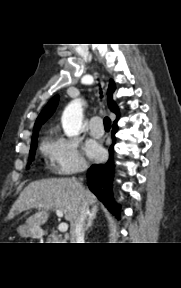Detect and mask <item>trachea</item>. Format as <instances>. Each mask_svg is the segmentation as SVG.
Masks as SVG:
<instances>
[{"label": "trachea", "mask_w": 181, "mask_h": 288, "mask_svg": "<svg viewBox=\"0 0 181 288\" xmlns=\"http://www.w3.org/2000/svg\"><path fill=\"white\" fill-rule=\"evenodd\" d=\"M100 94H101V92H100ZM104 127H105V130H110V127H111V120L107 116L104 118Z\"/></svg>", "instance_id": "1"}]
</instances>
